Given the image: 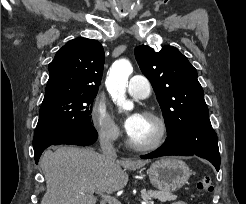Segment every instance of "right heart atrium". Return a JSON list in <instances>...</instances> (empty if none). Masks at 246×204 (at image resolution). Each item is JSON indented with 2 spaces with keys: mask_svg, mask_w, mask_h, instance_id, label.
Returning <instances> with one entry per match:
<instances>
[{
  "mask_svg": "<svg viewBox=\"0 0 246 204\" xmlns=\"http://www.w3.org/2000/svg\"><path fill=\"white\" fill-rule=\"evenodd\" d=\"M92 126L98 138L107 143L114 142L120 135L119 126L106 104L97 99L91 110Z\"/></svg>",
  "mask_w": 246,
  "mask_h": 204,
  "instance_id": "obj_1",
  "label": "right heart atrium"
}]
</instances>
